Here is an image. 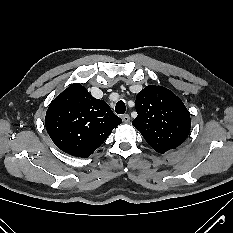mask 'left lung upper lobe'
<instances>
[{
  "mask_svg": "<svg viewBox=\"0 0 233 233\" xmlns=\"http://www.w3.org/2000/svg\"><path fill=\"white\" fill-rule=\"evenodd\" d=\"M135 108L138 116L132 125L158 153L178 147L188 137L190 113L171 90L146 86L137 94Z\"/></svg>",
  "mask_w": 233,
  "mask_h": 233,
  "instance_id": "obj_1",
  "label": "left lung upper lobe"
}]
</instances>
